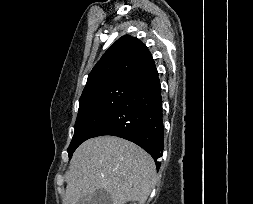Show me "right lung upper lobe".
Returning a JSON list of instances; mask_svg holds the SVG:
<instances>
[{
    "label": "right lung upper lobe",
    "instance_id": "cb5924a9",
    "mask_svg": "<svg viewBox=\"0 0 253 204\" xmlns=\"http://www.w3.org/2000/svg\"><path fill=\"white\" fill-rule=\"evenodd\" d=\"M154 68V60L145 44L135 37L124 35L94 66L83 93L118 81L137 82Z\"/></svg>",
    "mask_w": 253,
    "mask_h": 204
}]
</instances>
